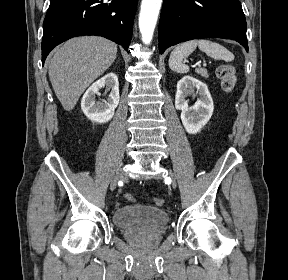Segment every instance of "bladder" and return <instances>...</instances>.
Instances as JSON below:
<instances>
[{"instance_id": "31cf9c89", "label": "bladder", "mask_w": 288, "mask_h": 280, "mask_svg": "<svg viewBox=\"0 0 288 280\" xmlns=\"http://www.w3.org/2000/svg\"><path fill=\"white\" fill-rule=\"evenodd\" d=\"M112 220L120 229L158 232L167 226L169 216L161 208L131 205L117 208L113 212Z\"/></svg>"}]
</instances>
